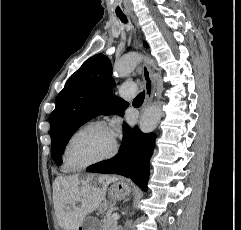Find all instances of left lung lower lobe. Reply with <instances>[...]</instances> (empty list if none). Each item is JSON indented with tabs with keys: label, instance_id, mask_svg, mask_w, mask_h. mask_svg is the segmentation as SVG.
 <instances>
[{
	"label": "left lung lower lobe",
	"instance_id": "1",
	"mask_svg": "<svg viewBox=\"0 0 241 230\" xmlns=\"http://www.w3.org/2000/svg\"><path fill=\"white\" fill-rule=\"evenodd\" d=\"M155 138L152 133L144 134L138 127L132 130L125 124L119 153L110 160L90 166L87 171L119 174L131 178L143 191H146Z\"/></svg>",
	"mask_w": 241,
	"mask_h": 230
}]
</instances>
